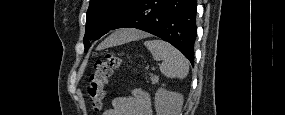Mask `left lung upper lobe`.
I'll return each instance as SVG.
<instances>
[{
    "mask_svg": "<svg viewBox=\"0 0 285 115\" xmlns=\"http://www.w3.org/2000/svg\"><path fill=\"white\" fill-rule=\"evenodd\" d=\"M136 0H90L87 11L85 51L91 46L89 40L99 39L111 30Z\"/></svg>",
    "mask_w": 285,
    "mask_h": 115,
    "instance_id": "left-lung-upper-lobe-1",
    "label": "left lung upper lobe"
}]
</instances>
